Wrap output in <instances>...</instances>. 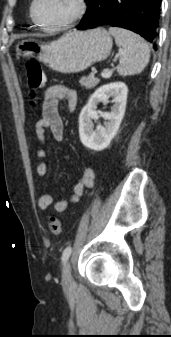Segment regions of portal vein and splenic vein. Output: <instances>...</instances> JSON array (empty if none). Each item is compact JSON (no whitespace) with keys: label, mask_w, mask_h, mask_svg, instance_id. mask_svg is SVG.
<instances>
[{"label":"portal vein and splenic vein","mask_w":171,"mask_h":337,"mask_svg":"<svg viewBox=\"0 0 171 337\" xmlns=\"http://www.w3.org/2000/svg\"><path fill=\"white\" fill-rule=\"evenodd\" d=\"M95 71V70H94ZM112 73H113V70L111 69V70H109V71H104V72H102L101 73V76L103 77V78H109L111 75H112Z\"/></svg>","instance_id":"1"}]
</instances>
